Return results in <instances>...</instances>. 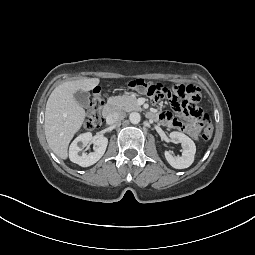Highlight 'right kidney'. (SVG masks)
<instances>
[{
  "label": "right kidney",
  "mask_w": 255,
  "mask_h": 255,
  "mask_svg": "<svg viewBox=\"0 0 255 255\" xmlns=\"http://www.w3.org/2000/svg\"><path fill=\"white\" fill-rule=\"evenodd\" d=\"M93 142L96 147L92 153H83L79 155V152L88 144ZM108 145V139L106 137H100L96 140H92V134L90 132L80 134L70 145L69 158L73 163L82 167H88L95 164L104 155Z\"/></svg>",
  "instance_id": "obj_1"
}]
</instances>
